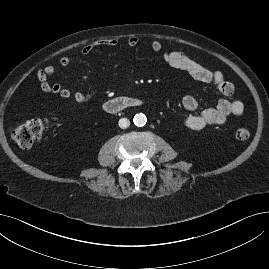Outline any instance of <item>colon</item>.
<instances>
[{"label":"colon","instance_id":"5ec220e1","mask_svg":"<svg viewBox=\"0 0 269 269\" xmlns=\"http://www.w3.org/2000/svg\"><path fill=\"white\" fill-rule=\"evenodd\" d=\"M49 126L48 118H38L14 125L10 128L13 140L22 148H30L42 137ZM249 130L241 126L236 130V137L246 140L249 137Z\"/></svg>","mask_w":269,"mask_h":269}]
</instances>
